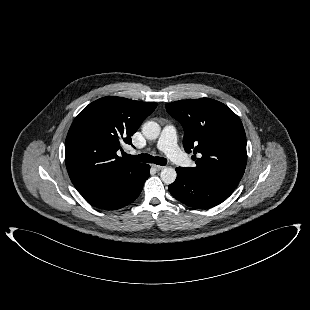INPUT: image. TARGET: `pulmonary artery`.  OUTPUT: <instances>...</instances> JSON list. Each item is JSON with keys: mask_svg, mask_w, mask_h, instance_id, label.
<instances>
[{"mask_svg": "<svg viewBox=\"0 0 310 310\" xmlns=\"http://www.w3.org/2000/svg\"><path fill=\"white\" fill-rule=\"evenodd\" d=\"M157 148L175 163L182 166H188L190 164V160L177 146V134L172 125H167L163 128L157 142Z\"/></svg>", "mask_w": 310, "mask_h": 310, "instance_id": "1", "label": "pulmonary artery"}]
</instances>
